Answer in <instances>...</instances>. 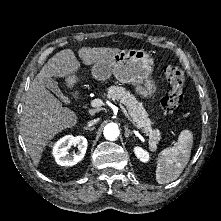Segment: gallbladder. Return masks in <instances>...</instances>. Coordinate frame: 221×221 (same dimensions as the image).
Here are the masks:
<instances>
[{"mask_svg":"<svg viewBox=\"0 0 221 221\" xmlns=\"http://www.w3.org/2000/svg\"><path fill=\"white\" fill-rule=\"evenodd\" d=\"M45 86L52 91L57 97H59L63 102L69 103V99L62 94L57 83L52 78H46L44 80Z\"/></svg>","mask_w":221,"mask_h":221,"instance_id":"obj_1","label":"gallbladder"}]
</instances>
